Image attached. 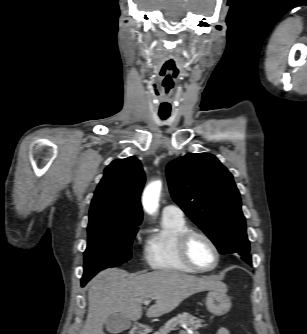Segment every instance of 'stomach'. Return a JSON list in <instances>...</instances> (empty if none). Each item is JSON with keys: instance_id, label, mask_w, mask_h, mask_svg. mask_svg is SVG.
I'll use <instances>...</instances> for the list:
<instances>
[{"instance_id": "stomach-1", "label": "stomach", "mask_w": 307, "mask_h": 334, "mask_svg": "<svg viewBox=\"0 0 307 334\" xmlns=\"http://www.w3.org/2000/svg\"><path fill=\"white\" fill-rule=\"evenodd\" d=\"M227 287L211 290L206 296V307L214 315L221 316L226 314L231 308L230 298L227 296Z\"/></svg>"}]
</instances>
